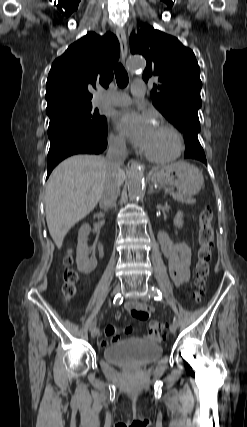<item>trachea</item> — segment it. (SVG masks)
Wrapping results in <instances>:
<instances>
[{
    "label": "trachea",
    "mask_w": 247,
    "mask_h": 427,
    "mask_svg": "<svg viewBox=\"0 0 247 427\" xmlns=\"http://www.w3.org/2000/svg\"><path fill=\"white\" fill-rule=\"evenodd\" d=\"M115 78L119 87L124 88L128 85V74L121 63L115 68Z\"/></svg>",
    "instance_id": "trachea-1"
}]
</instances>
